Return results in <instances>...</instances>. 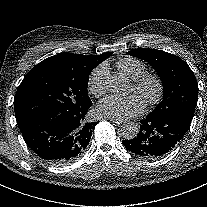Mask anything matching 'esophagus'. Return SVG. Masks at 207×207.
Masks as SVG:
<instances>
[{
    "mask_svg": "<svg viewBox=\"0 0 207 207\" xmlns=\"http://www.w3.org/2000/svg\"><path fill=\"white\" fill-rule=\"evenodd\" d=\"M107 119L112 121V122H115L116 126H118V127H121L124 124V121L121 118L117 119V118H114V117H107Z\"/></svg>",
    "mask_w": 207,
    "mask_h": 207,
    "instance_id": "obj_1",
    "label": "esophagus"
}]
</instances>
